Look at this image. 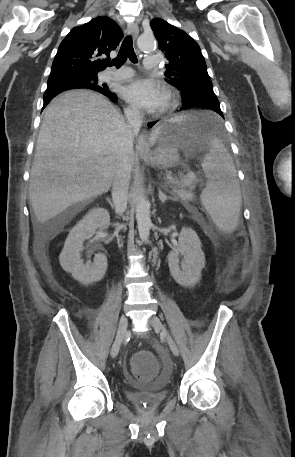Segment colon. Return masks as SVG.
Instances as JSON below:
<instances>
[{
  "label": "colon",
  "instance_id": "obj_1",
  "mask_svg": "<svg viewBox=\"0 0 295 457\" xmlns=\"http://www.w3.org/2000/svg\"><path fill=\"white\" fill-rule=\"evenodd\" d=\"M238 242L244 245L246 237L239 235ZM132 363L134 377L138 378L139 383H150L151 378L157 377L158 365L153 351H134Z\"/></svg>",
  "mask_w": 295,
  "mask_h": 457
}]
</instances>
